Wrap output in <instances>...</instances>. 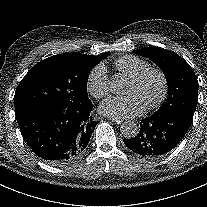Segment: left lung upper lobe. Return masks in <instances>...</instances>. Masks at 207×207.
<instances>
[{"mask_svg": "<svg viewBox=\"0 0 207 207\" xmlns=\"http://www.w3.org/2000/svg\"><path fill=\"white\" fill-rule=\"evenodd\" d=\"M133 52L151 59L165 74L168 97L154 114L179 113L192 120L198 100V81L190 65L175 52L159 47H145Z\"/></svg>", "mask_w": 207, "mask_h": 207, "instance_id": "1", "label": "left lung upper lobe"}]
</instances>
